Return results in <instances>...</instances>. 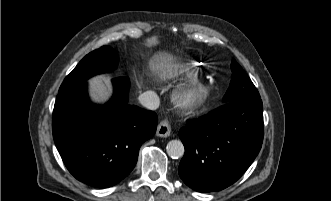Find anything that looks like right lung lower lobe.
Instances as JSON below:
<instances>
[{
  "mask_svg": "<svg viewBox=\"0 0 331 201\" xmlns=\"http://www.w3.org/2000/svg\"><path fill=\"white\" fill-rule=\"evenodd\" d=\"M114 94L103 106L92 104L86 83L58 94L52 128L57 150L79 181L107 188L135 167L139 148L156 132V113L127 104L129 79L112 80Z\"/></svg>",
  "mask_w": 331,
  "mask_h": 201,
  "instance_id": "98d812e1",
  "label": "right lung lower lobe"
}]
</instances>
